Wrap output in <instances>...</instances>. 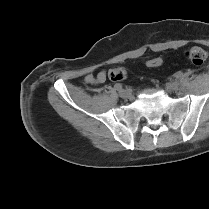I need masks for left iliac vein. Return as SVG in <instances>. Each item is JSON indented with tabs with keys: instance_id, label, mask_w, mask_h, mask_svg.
I'll return each mask as SVG.
<instances>
[{
	"instance_id": "4c4485c4",
	"label": "left iliac vein",
	"mask_w": 209,
	"mask_h": 209,
	"mask_svg": "<svg viewBox=\"0 0 209 209\" xmlns=\"http://www.w3.org/2000/svg\"><path fill=\"white\" fill-rule=\"evenodd\" d=\"M167 88L171 91H177L179 89V83L178 82H170L167 84Z\"/></svg>"
}]
</instances>
